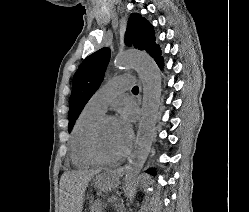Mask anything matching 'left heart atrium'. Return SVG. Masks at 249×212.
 <instances>
[{
    "mask_svg": "<svg viewBox=\"0 0 249 212\" xmlns=\"http://www.w3.org/2000/svg\"><path fill=\"white\" fill-rule=\"evenodd\" d=\"M116 129L123 140L125 150L130 146L132 140V124L129 115L123 114L115 120Z\"/></svg>",
    "mask_w": 249,
    "mask_h": 212,
    "instance_id": "1",
    "label": "left heart atrium"
}]
</instances>
